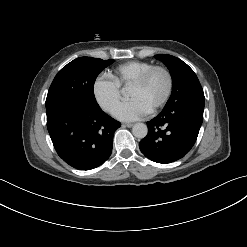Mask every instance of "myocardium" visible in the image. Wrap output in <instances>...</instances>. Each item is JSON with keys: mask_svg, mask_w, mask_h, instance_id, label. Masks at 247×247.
I'll use <instances>...</instances> for the list:
<instances>
[{"mask_svg": "<svg viewBox=\"0 0 247 247\" xmlns=\"http://www.w3.org/2000/svg\"><path fill=\"white\" fill-rule=\"evenodd\" d=\"M155 71H162L166 77H167V89L166 92L163 96V98L153 107L150 109V112H156L157 110L161 109L169 100L171 97V94L173 92L174 88V77L172 72L170 71L169 68L161 65H153L149 69H147L145 72H143L136 80H134L131 83V86H136V87H141L143 86L150 76L155 72Z\"/></svg>", "mask_w": 247, "mask_h": 247, "instance_id": "obj_1", "label": "myocardium"}]
</instances>
